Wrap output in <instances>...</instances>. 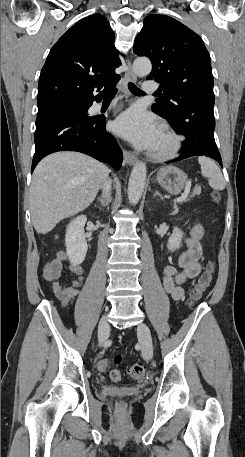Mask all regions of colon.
Segmentation results:
<instances>
[{
  "label": "colon",
  "instance_id": "colon-1",
  "mask_svg": "<svg viewBox=\"0 0 245 457\" xmlns=\"http://www.w3.org/2000/svg\"><path fill=\"white\" fill-rule=\"evenodd\" d=\"M214 200H218V194L213 195ZM214 264L209 263L206 267V270L201 274L199 277L196 285L194 286L193 290L190 294V299L192 302L198 301L203 293L210 287L212 279H213V272H214ZM121 361V356L117 355L113 358V360L104 358L98 362V369L102 372L109 371L111 368V364H118ZM128 374L133 379H141L145 374V367L144 364L141 362L135 363L129 367ZM110 378L114 382H118L122 378V374L119 370L113 369L110 370ZM119 406L122 407L123 403H119Z\"/></svg>",
  "mask_w": 245,
  "mask_h": 457
}]
</instances>
